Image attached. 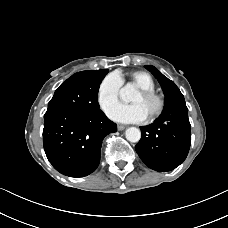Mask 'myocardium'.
<instances>
[{"label": "myocardium", "instance_id": "myocardium-1", "mask_svg": "<svg viewBox=\"0 0 228 228\" xmlns=\"http://www.w3.org/2000/svg\"><path fill=\"white\" fill-rule=\"evenodd\" d=\"M139 92L145 99L153 100L156 103L155 110L148 115V118L155 119L160 116L165 108L164 98L154 90L140 89Z\"/></svg>", "mask_w": 228, "mask_h": 228}]
</instances>
